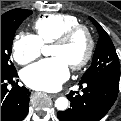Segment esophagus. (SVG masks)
<instances>
[{
    "instance_id": "1",
    "label": "esophagus",
    "mask_w": 121,
    "mask_h": 121,
    "mask_svg": "<svg viewBox=\"0 0 121 121\" xmlns=\"http://www.w3.org/2000/svg\"><path fill=\"white\" fill-rule=\"evenodd\" d=\"M59 96V94H50L51 98H57Z\"/></svg>"
}]
</instances>
